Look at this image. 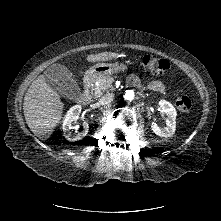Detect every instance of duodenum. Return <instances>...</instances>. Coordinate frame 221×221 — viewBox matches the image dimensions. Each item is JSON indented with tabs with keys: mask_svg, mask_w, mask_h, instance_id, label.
Segmentation results:
<instances>
[{
	"mask_svg": "<svg viewBox=\"0 0 221 221\" xmlns=\"http://www.w3.org/2000/svg\"><path fill=\"white\" fill-rule=\"evenodd\" d=\"M92 82L91 77H85L82 81L83 92L79 97V102L84 105H88L91 102V94L89 91L90 84Z\"/></svg>",
	"mask_w": 221,
	"mask_h": 221,
	"instance_id": "obj_1",
	"label": "duodenum"
}]
</instances>
